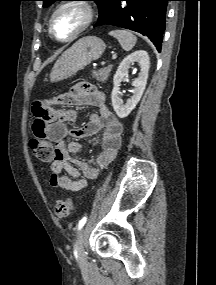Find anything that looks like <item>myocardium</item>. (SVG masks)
<instances>
[{
	"label": "myocardium",
	"instance_id": "obj_1",
	"mask_svg": "<svg viewBox=\"0 0 216 285\" xmlns=\"http://www.w3.org/2000/svg\"><path fill=\"white\" fill-rule=\"evenodd\" d=\"M69 7H75V8L80 9L84 13V21L74 31V33H72L67 38H58L53 33L54 18L56 17V15L60 11H62L65 8H69ZM94 16H95L94 8L90 3L82 1V0H68V1L60 4L59 6H57L55 8V10L52 12V14L49 18V21H48L49 34L53 39H55L58 42H61V43L71 42V41L75 40L76 38H78L82 33H84L89 28V26L92 24V22L94 20Z\"/></svg>",
	"mask_w": 216,
	"mask_h": 285
}]
</instances>
